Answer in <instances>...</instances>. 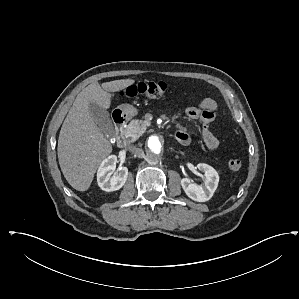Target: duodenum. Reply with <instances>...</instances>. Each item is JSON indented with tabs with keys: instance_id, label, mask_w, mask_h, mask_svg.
I'll list each match as a JSON object with an SVG mask.
<instances>
[{
	"instance_id": "1",
	"label": "duodenum",
	"mask_w": 299,
	"mask_h": 299,
	"mask_svg": "<svg viewBox=\"0 0 299 299\" xmlns=\"http://www.w3.org/2000/svg\"><path fill=\"white\" fill-rule=\"evenodd\" d=\"M112 120L116 130V144L119 148H125L127 145L123 135V129L126 123L125 114L120 110H116L112 113Z\"/></svg>"
}]
</instances>
